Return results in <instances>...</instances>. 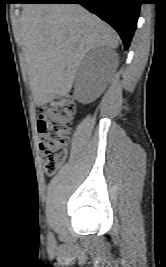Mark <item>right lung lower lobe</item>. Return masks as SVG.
Returning <instances> with one entry per match:
<instances>
[{"label": "right lung lower lobe", "instance_id": "98d812e1", "mask_svg": "<svg viewBox=\"0 0 166 267\" xmlns=\"http://www.w3.org/2000/svg\"><path fill=\"white\" fill-rule=\"evenodd\" d=\"M21 3H79L110 24L128 49L139 17L141 0H21Z\"/></svg>", "mask_w": 166, "mask_h": 267}]
</instances>
